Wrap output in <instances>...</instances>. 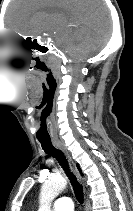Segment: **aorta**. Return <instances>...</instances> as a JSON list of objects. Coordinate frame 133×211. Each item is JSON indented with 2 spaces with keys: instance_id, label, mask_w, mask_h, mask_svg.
Wrapping results in <instances>:
<instances>
[{
  "instance_id": "obj_1",
  "label": "aorta",
  "mask_w": 133,
  "mask_h": 211,
  "mask_svg": "<svg viewBox=\"0 0 133 211\" xmlns=\"http://www.w3.org/2000/svg\"><path fill=\"white\" fill-rule=\"evenodd\" d=\"M66 185L67 181L62 176H53L46 180L41 187L39 211H50L49 208L52 201L66 187Z\"/></svg>"
}]
</instances>
